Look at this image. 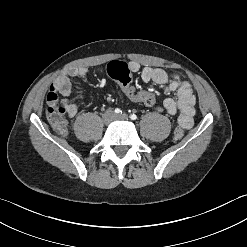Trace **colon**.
<instances>
[{
  "label": "colon",
  "mask_w": 247,
  "mask_h": 247,
  "mask_svg": "<svg viewBox=\"0 0 247 247\" xmlns=\"http://www.w3.org/2000/svg\"><path fill=\"white\" fill-rule=\"evenodd\" d=\"M108 75L117 80L120 88L125 96L132 102L141 103L147 107L156 104L158 96L154 92L146 90H138L132 84V76L130 74L127 64L119 61L110 62L107 65ZM47 111L46 116L50 124L60 134L67 133L66 109L62 103L59 102L58 94L51 91L47 95ZM185 132L182 127H176L173 131V139L179 141L183 138Z\"/></svg>",
  "instance_id": "1"
}]
</instances>
